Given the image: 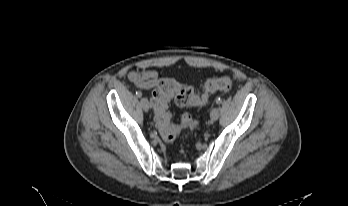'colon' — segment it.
I'll return each instance as SVG.
<instances>
[{"mask_svg": "<svg viewBox=\"0 0 348 206\" xmlns=\"http://www.w3.org/2000/svg\"><path fill=\"white\" fill-rule=\"evenodd\" d=\"M232 87V79L228 75L212 78L205 83L204 94L198 96L193 87L179 84L172 79H162L152 92L151 104L155 114V124L167 142H173L182 129L189 128L193 131L196 128V121L188 113L182 115L179 125L171 122V114L168 106L172 98L177 105L200 106L205 103L209 94L216 91H228Z\"/></svg>", "mask_w": 348, "mask_h": 206, "instance_id": "1", "label": "colon"}]
</instances>
